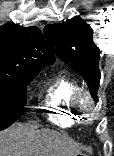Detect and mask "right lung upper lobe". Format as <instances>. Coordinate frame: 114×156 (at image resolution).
Masks as SVG:
<instances>
[{
	"label": "right lung upper lobe",
	"instance_id": "right-lung-upper-lobe-1",
	"mask_svg": "<svg viewBox=\"0 0 114 156\" xmlns=\"http://www.w3.org/2000/svg\"><path fill=\"white\" fill-rule=\"evenodd\" d=\"M41 31L6 23L0 27V73L38 74L54 63Z\"/></svg>",
	"mask_w": 114,
	"mask_h": 156
}]
</instances>
